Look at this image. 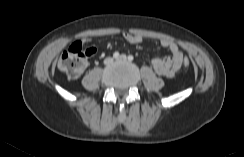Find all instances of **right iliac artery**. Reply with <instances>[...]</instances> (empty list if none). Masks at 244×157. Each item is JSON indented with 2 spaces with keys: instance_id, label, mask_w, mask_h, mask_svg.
I'll return each instance as SVG.
<instances>
[{
  "instance_id": "right-iliac-artery-1",
  "label": "right iliac artery",
  "mask_w": 244,
  "mask_h": 157,
  "mask_svg": "<svg viewBox=\"0 0 244 157\" xmlns=\"http://www.w3.org/2000/svg\"><path fill=\"white\" fill-rule=\"evenodd\" d=\"M113 57H114V58H118V57H119V52H114V53H113Z\"/></svg>"
}]
</instances>
